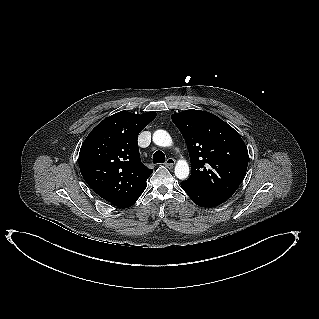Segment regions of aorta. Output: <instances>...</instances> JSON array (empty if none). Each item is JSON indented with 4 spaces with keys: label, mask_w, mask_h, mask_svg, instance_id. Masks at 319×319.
Returning a JSON list of instances; mask_svg holds the SVG:
<instances>
[{
    "label": "aorta",
    "mask_w": 319,
    "mask_h": 319,
    "mask_svg": "<svg viewBox=\"0 0 319 319\" xmlns=\"http://www.w3.org/2000/svg\"><path fill=\"white\" fill-rule=\"evenodd\" d=\"M153 142L161 147H169L172 145V138L165 130H156L153 133ZM175 176L178 179H187L190 173L189 165L185 160H179L175 166Z\"/></svg>",
    "instance_id": "1"
}]
</instances>
